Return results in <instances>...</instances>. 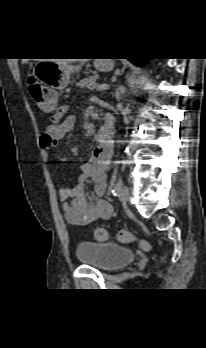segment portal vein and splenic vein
Instances as JSON below:
<instances>
[{
	"instance_id": "18ae733b",
	"label": "portal vein and splenic vein",
	"mask_w": 206,
	"mask_h": 348,
	"mask_svg": "<svg viewBox=\"0 0 206 348\" xmlns=\"http://www.w3.org/2000/svg\"><path fill=\"white\" fill-rule=\"evenodd\" d=\"M109 89V85L108 84H101V85H98L96 87V90L97 91H106Z\"/></svg>"
}]
</instances>
